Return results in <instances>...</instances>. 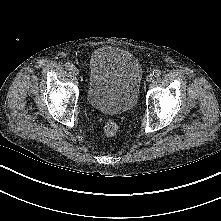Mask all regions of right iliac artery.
Wrapping results in <instances>:
<instances>
[{
  "instance_id": "right-iliac-artery-1",
  "label": "right iliac artery",
  "mask_w": 221,
  "mask_h": 221,
  "mask_svg": "<svg viewBox=\"0 0 221 221\" xmlns=\"http://www.w3.org/2000/svg\"><path fill=\"white\" fill-rule=\"evenodd\" d=\"M65 68H66L67 70H72V69H73V64L70 63V62H67V63L65 64Z\"/></svg>"
}]
</instances>
